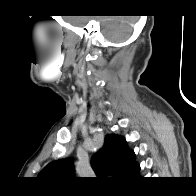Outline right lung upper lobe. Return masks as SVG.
<instances>
[{"instance_id":"right-lung-upper-lobe-1","label":"right lung upper lobe","mask_w":196,"mask_h":196,"mask_svg":"<svg viewBox=\"0 0 196 196\" xmlns=\"http://www.w3.org/2000/svg\"><path fill=\"white\" fill-rule=\"evenodd\" d=\"M99 178L134 179L139 175L140 165L135 160L134 151L127 147L126 140L114 134L105 136L104 147L95 153L91 161ZM73 165L70 159L49 163L38 175L48 184H59L73 178Z\"/></svg>"}]
</instances>
